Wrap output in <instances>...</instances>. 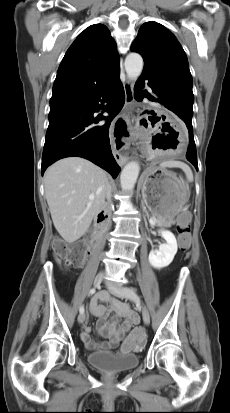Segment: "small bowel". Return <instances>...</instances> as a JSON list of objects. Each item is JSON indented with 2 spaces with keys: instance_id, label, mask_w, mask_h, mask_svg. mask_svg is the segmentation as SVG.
I'll return each mask as SVG.
<instances>
[{
  "instance_id": "obj_1",
  "label": "small bowel",
  "mask_w": 230,
  "mask_h": 413,
  "mask_svg": "<svg viewBox=\"0 0 230 413\" xmlns=\"http://www.w3.org/2000/svg\"><path fill=\"white\" fill-rule=\"evenodd\" d=\"M98 301L107 302L108 305L99 304ZM90 310L92 315L98 318L97 331L98 334L107 341L100 342L94 340L91 335V328L88 325L84 326L81 333V339L85 346L91 350H117L119 353H130V347L127 339L118 348L123 336L139 322L137 314L130 307L116 298H113L109 293L102 291L96 295L91 301ZM112 313V315H110ZM120 318H124L123 323H119Z\"/></svg>"
}]
</instances>
